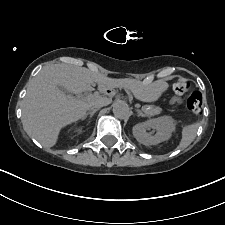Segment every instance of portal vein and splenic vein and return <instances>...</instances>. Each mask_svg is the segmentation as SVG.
<instances>
[{
  "label": "portal vein and splenic vein",
  "instance_id": "18ae733b",
  "mask_svg": "<svg viewBox=\"0 0 225 225\" xmlns=\"http://www.w3.org/2000/svg\"><path fill=\"white\" fill-rule=\"evenodd\" d=\"M97 96V93H95L94 95H89L88 97L92 98V97H95Z\"/></svg>",
  "mask_w": 225,
  "mask_h": 225
}]
</instances>
